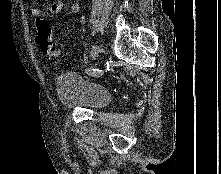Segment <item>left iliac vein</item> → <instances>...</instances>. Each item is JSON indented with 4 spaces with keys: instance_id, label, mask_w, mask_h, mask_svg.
<instances>
[{
    "instance_id": "left-iliac-vein-1",
    "label": "left iliac vein",
    "mask_w": 221,
    "mask_h": 174,
    "mask_svg": "<svg viewBox=\"0 0 221 174\" xmlns=\"http://www.w3.org/2000/svg\"><path fill=\"white\" fill-rule=\"evenodd\" d=\"M100 53V48L98 45H93L92 49H91V58L93 60L97 59V57L99 56Z\"/></svg>"
}]
</instances>
